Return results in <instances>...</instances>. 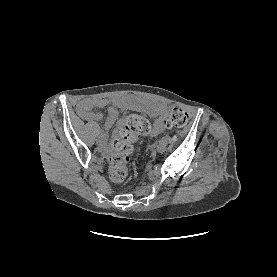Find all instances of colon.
<instances>
[{
  "label": "colon",
  "mask_w": 277,
  "mask_h": 277,
  "mask_svg": "<svg viewBox=\"0 0 277 277\" xmlns=\"http://www.w3.org/2000/svg\"><path fill=\"white\" fill-rule=\"evenodd\" d=\"M187 122V112L183 109L175 108L165 121V126L167 128H182ZM150 131L151 123L143 116L132 114L125 119L124 127L112 141L109 157V176L113 182L122 183L127 179L134 144L139 135H146Z\"/></svg>",
  "instance_id": "obj_1"
}]
</instances>
